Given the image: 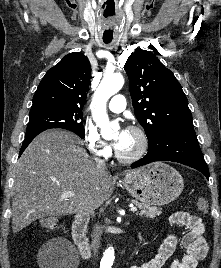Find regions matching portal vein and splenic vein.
Listing matches in <instances>:
<instances>
[{
	"label": "portal vein and splenic vein",
	"instance_id": "obj_1",
	"mask_svg": "<svg viewBox=\"0 0 221 268\" xmlns=\"http://www.w3.org/2000/svg\"><path fill=\"white\" fill-rule=\"evenodd\" d=\"M68 197H75V194L72 191H66L63 195H62V199L68 198ZM131 211L132 212H136L137 208L134 206H131Z\"/></svg>",
	"mask_w": 221,
	"mask_h": 268
}]
</instances>
